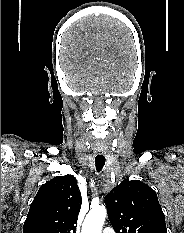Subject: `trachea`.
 <instances>
[{"label": "trachea", "instance_id": "1", "mask_svg": "<svg viewBox=\"0 0 184 233\" xmlns=\"http://www.w3.org/2000/svg\"><path fill=\"white\" fill-rule=\"evenodd\" d=\"M105 161H106V159H105L103 152L99 151L95 157V165H96L97 172L102 170V168L105 165Z\"/></svg>", "mask_w": 184, "mask_h": 233}]
</instances>
